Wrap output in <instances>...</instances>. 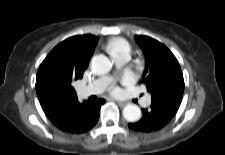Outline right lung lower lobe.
I'll return each mask as SVG.
<instances>
[{
    "mask_svg": "<svg viewBox=\"0 0 225 155\" xmlns=\"http://www.w3.org/2000/svg\"><path fill=\"white\" fill-rule=\"evenodd\" d=\"M104 102V99H99L96 103L76 102L61 108L49 119L64 132L85 133L98 122L100 106Z\"/></svg>",
    "mask_w": 225,
    "mask_h": 155,
    "instance_id": "1",
    "label": "right lung lower lobe"
}]
</instances>
